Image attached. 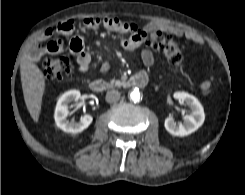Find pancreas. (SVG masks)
<instances>
[{"label": "pancreas", "mask_w": 245, "mask_h": 195, "mask_svg": "<svg viewBox=\"0 0 245 195\" xmlns=\"http://www.w3.org/2000/svg\"><path fill=\"white\" fill-rule=\"evenodd\" d=\"M122 82L119 80L111 79L110 84L114 86H119Z\"/></svg>", "instance_id": "cf45deb5"}]
</instances>
